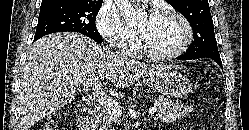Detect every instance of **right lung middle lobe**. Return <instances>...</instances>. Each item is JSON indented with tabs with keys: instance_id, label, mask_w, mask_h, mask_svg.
<instances>
[{
	"instance_id": "1",
	"label": "right lung middle lobe",
	"mask_w": 249,
	"mask_h": 130,
	"mask_svg": "<svg viewBox=\"0 0 249 130\" xmlns=\"http://www.w3.org/2000/svg\"><path fill=\"white\" fill-rule=\"evenodd\" d=\"M102 2L88 0H62L41 5L34 39L55 32H79L101 43L95 19Z\"/></svg>"
}]
</instances>
